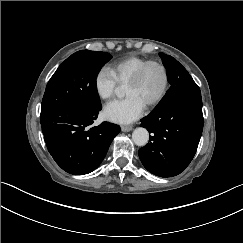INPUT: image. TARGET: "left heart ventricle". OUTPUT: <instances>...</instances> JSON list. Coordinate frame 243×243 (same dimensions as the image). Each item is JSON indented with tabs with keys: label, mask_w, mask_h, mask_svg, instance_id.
<instances>
[{
	"label": "left heart ventricle",
	"mask_w": 243,
	"mask_h": 243,
	"mask_svg": "<svg viewBox=\"0 0 243 243\" xmlns=\"http://www.w3.org/2000/svg\"><path fill=\"white\" fill-rule=\"evenodd\" d=\"M164 86L163 70L158 65H150L138 82L125 85V95H136L148 105L160 96Z\"/></svg>",
	"instance_id": "obj_1"
}]
</instances>
